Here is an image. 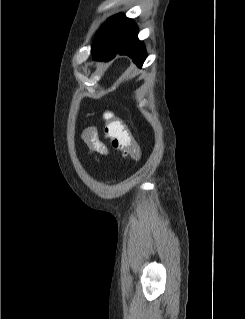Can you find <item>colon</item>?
<instances>
[{
  "mask_svg": "<svg viewBox=\"0 0 245 319\" xmlns=\"http://www.w3.org/2000/svg\"><path fill=\"white\" fill-rule=\"evenodd\" d=\"M103 134L111 141L112 147L132 159L140 156V147L136 143L129 127L111 113L104 115Z\"/></svg>",
  "mask_w": 245,
  "mask_h": 319,
  "instance_id": "1",
  "label": "colon"
}]
</instances>
